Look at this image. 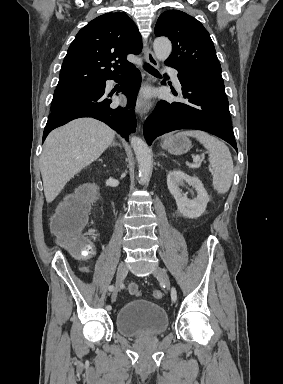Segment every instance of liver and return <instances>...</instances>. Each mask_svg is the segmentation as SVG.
<instances>
[{
	"mask_svg": "<svg viewBox=\"0 0 283 384\" xmlns=\"http://www.w3.org/2000/svg\"><path fill=\"white\" fill-rule=\"evenodd\" d=\"M114 138V130L93 118L73 120L53 130L40 158L46 202H53L71 178L100 158Z\"/></svg>",
	"mask_w": 283,
	"mask_h": 384,
	"instance_id": "liver-1",
	"label": "liver"
}]
</instances>
